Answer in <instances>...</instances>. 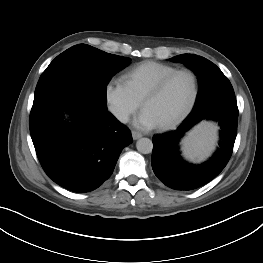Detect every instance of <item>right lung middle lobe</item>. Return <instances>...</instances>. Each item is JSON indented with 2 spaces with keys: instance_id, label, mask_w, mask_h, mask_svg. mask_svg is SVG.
<instances>
[{
  "instance_id": "obj_1",
  "label": "right lung middle lobe",
  "mask_w": 263,
  "mask_h": 263,
  "mask_svg": "<svg viewBox=\"0 0 263 263\" xmlns=\"http://www.w3.org/2000/svg\"><path fill=\"white\" fill-rule=\"evenodd\" d=\"M129 63L128 57L109 54L87 44L75 45L58 55L42 73L34 102L61 92L75 91L105 107L107 84Z\"/></svg>"
}]
</instances>
